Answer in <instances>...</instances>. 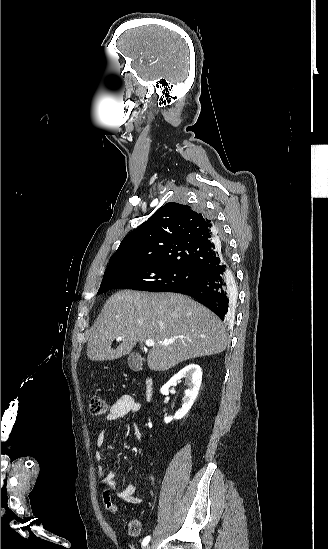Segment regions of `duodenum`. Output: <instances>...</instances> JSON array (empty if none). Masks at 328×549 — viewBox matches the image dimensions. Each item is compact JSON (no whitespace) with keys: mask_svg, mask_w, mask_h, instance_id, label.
I'll return each mask as SVG.
<instances>
[{"mask_svg":"<svg viewBox=\"0 0 328 549\" xmlns=\"http://www.w3.org/2000/svg\"><path fill=\"white\" fill-rule=\"evenodd\" d=\"M145 397L149 402H151L154 397V383L149 377L145 380Z\"/></svg>","mask_w":328,"mask_h":549,"instance_id":"410a0bca","label":"duodenum"}]
</instances>
